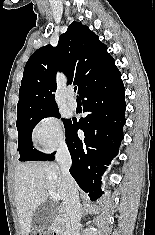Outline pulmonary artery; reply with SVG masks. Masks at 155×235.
<instances>
[{
	"mask_svg": "<svg viewBox=\"0 0 155 235\" xmlns=\"http://www.w3.org/2000/svg\"><path fill=\"white\" fill-rule=\"evenodd\" d=\"M67 104L72 110H75L77 108V100L72 90H69Z\"/></svg>",
	"mask_w": 155,
	"mask_h": 235,
	"instance_id": "pulmonary-artery-1",
	"label": "pulmonary artery"
}]
</instances>
